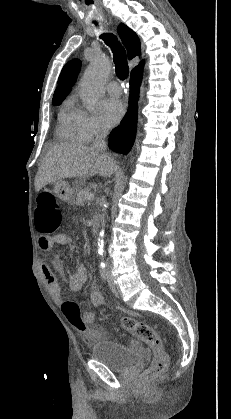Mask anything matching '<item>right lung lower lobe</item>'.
I'll return each mask as SVG.
<instances>
[{"label":"right lung lower lobe","instance_id":"obj_1","mask_svg":"<svg viewBox=\"0 0 231 419\" xmlns=\"http://www.w3.org/2000/svg\"><path fill=\"white\" fill-rule=\"evenodd\" d=\"M143 65L131 72L129 110L120 126L114 128L109 135V147L120 153L127 154L131 149L137 129V111L139 88L142 81Z\"/></svg>","mask_w":231,"mask_h":419}]
</instances>
